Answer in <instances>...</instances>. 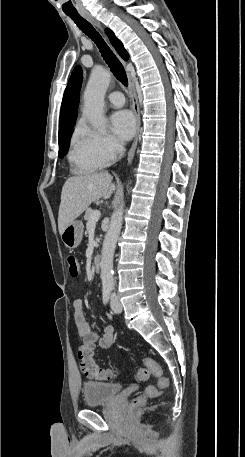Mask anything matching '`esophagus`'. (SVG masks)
I'll list each match as a JSON object with an SVG mask.
<instances>
[{
	"label": "esophagus",
	"instance_id": "34e87169",
	"mask_svg": "<svg viewBox=\"0 0 245 457\" xmlns=\"http://www.w3.org/2000/svg\"><path fill=\"white\" fill-rule=\"evenodd\" d=\"M81 15H82V17H85L87 20H89L91 23H93V25H95L96 27L101 28L100 23L94 17H92V15L90 13L84 12V13H81ZM121 61L124 65H126V62L124 60L121 59ZM127 76H128V80H129V94H130V97L132 100V107H133L134 116L136 119L135 137H134L133 144L129 150L128 157H127V160L130 162V161H132V159L134 157L135 150H136L137 143H138V137H139V132H140V109H139L138 99H137L136 90H135V86H134V81L130 75V72H127Z\"/></svg>",
	"mask_w": 245,
	"mask_h": 457
}]
</instances>
